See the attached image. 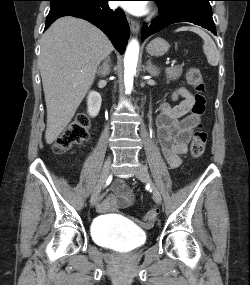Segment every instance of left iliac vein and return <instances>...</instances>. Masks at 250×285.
<instances>
[{
  "label": "left iliac vein",
  "mask_w": 250,
  "mask_h": 285,
  "mask_svg": "<svg viewBox=\"0 0 250 285\" xmlns=\"http://www.w3.org/2000/svg\"><path fill=\"white\" fill-rule=\"evenodd\" d=\"M136 177L144 182V183H148L150 185V188H151V192H152V196H153V199L154 201L157 203V204H160L162 199H161V195H160V192L158 190V188L154 185V183L152 182L151 178H150V175H149V172L147 170V168L142 165V164H139L137 170H136Z\"/></svg>",
  "instance_id": "left-iliac-vein-1"
}]
</instances>
